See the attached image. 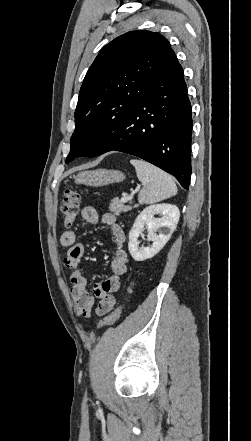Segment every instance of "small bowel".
<instances>
[{"label": "small bowel", "mask_w": 251, "mask_h": 441, "mask_svg": "<svg viewBox=\"0 0 251 441\" xmlns=\"http://www.w3.org/2000/svg\"><path fill=\"white\" fill-rule=\"evenodd\" d=\"M80 215L89 224H97L99 221L98 213L92 206L83 207ZM101 222L110 230L115 251L111 261L112 275L104 281L96 283L93 286V294L87 290L88 281L81 267V260L85 252L83 243L77 240L76 233L72 230L63 232L60 237L61 245L67 248L64 265L71 270V297L78 315L86 318L92 316L96 298L99 300L95 309L97 315H105L114 308L116 300L113 294L120 289L121 276L126 273L128 267V256L124 249L125 235L116 223L115 216L112 213H104Z\"/></svg>", "instance_id": "obj_1"}]
</instances>
